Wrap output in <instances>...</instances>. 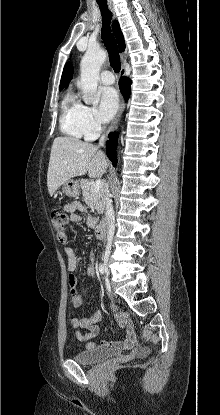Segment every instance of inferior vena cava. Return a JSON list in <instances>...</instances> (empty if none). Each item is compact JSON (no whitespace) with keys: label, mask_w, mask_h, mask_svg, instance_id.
Returning a JSON list of instances; mask_svg holds the SVG:
<instances>
[{"label":"inferior vena cava","mask_w":220,"mask_h":415,"mask_svg":"<svg viewBox=\"0 0 220 415\" xmlns=\"http://www.w3.org/2000/svg\"><path fill=\"white\" fill-rule=\"evenodd\" d=\"M105 137L102 136L99 141V145L104 144ZM104 223L107 227V245L106 249L109 250L111 248L112 238L114 235V214H113V207L111 205V201H109L108 207H107V214L106 218L104 220Z\"/></svg>","instance_id":"1"}]
</instances>
